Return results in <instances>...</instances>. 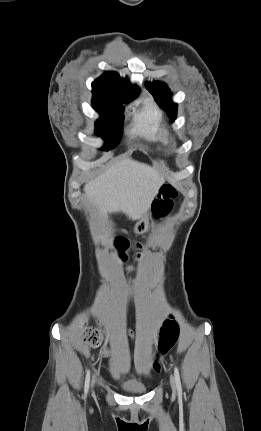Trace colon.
Segmentation results:
<instances>
[{"mask_svg": "<svg viewBox=\"0 0 261 431\" xmlns=\"http://www.w3.org/2000/svg\"><path fill=\"white\" fill-rule=\"evenodd\" d=\"M177 197V191L171 184H165L161 187L159 196L153 204V213L156 217H162L168 214L172 208L173 199ZM117 247L121 250L122 260H126L127 256L124 251L128 248L129 244L126 239L119 237L115 240ZM84 340L93 347H100L101 353L105 354L106 350L102 348L101 331L96 326L84 327ZM178 326L174 321L167 320L160 332V340L158 346V355L166 354L176 343L178 338ZM154 369L159 370L157 361L154 363Z\"/></svg>", "mask_w": 261, "mask_h": 431, "instance_id": "colon-1", "label": "colon"}]
</instances>
